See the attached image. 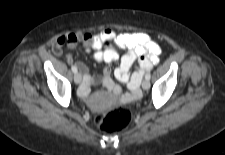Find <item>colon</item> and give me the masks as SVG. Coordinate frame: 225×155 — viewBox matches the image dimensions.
I'll list each match as a JSON object with an SVG mask.
<instances>
[{
    "instance_id": "5ec220e1",
    "label": "colon",
    "mask_w": 225,
    "mask_h": 155,
    "mask_svg": "<svg viewBox=\"0 0 225 155\" xmlns=\"http://www.w3.org/2000/svg\"><path fill=\"white\" fill-rule=\"evenodd\" d=\"M132 121V112L126 108L114 109L96 118V125L105 133L113 134L127 128Z\"/></svg>"
}]
</instances>
